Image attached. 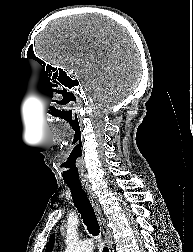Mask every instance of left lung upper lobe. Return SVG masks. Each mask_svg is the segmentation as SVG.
<instances>
[{"instance_id":"obj_1","label":"left lung upper lobe","mask_w":193,"mask_h":252,"mask_svg":"<svg viewBox=\"0 0 193 252\" xmlns=\"http://www.w3.org/2000/svg\"><path fill=\"white\" fill-rule=\"evenodd\" d=\"M53 241H54V235L51 236L50 240H49V244L48 247L46 249V252H51L52 246H53Z\"/></svg>"}]
</instances>
